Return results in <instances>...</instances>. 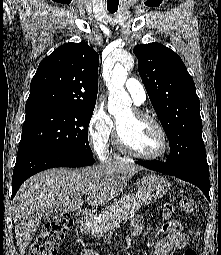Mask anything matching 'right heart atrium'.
I'll list each match as a JSON object with an SVG mask.
<instances>
[{
    "label": "right heart atrium",
    "mask_w": 221,
    "mask_h": 255,
    "mask_svg": "<svg viewBox=\"0 0 221 255\" xmlns=\"http://www.w3.org/2000/svg\"><path fill=\"white\" fill-rule=\"evenodd\" d=\"M114 133V123L102 106H96L87 123V135L91 148L104 158Z\"/></svg>",
    "instance_id": "1"
}]
</instances>
